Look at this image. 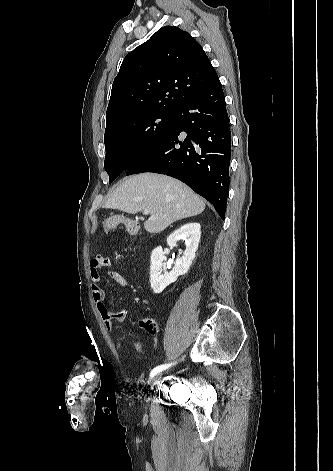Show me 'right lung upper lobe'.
<instances>
[{
  "mask_svg": "<svg viewBox=\"0 0 333 471\" xmlns=\"http://www.w3.org/2000/svg\"><path fill=\"white\" fill-rule=\"evenodd\" d=\"M217 79L203 48L188 32L162 27L124 58L113 82L106 128L139 112H176Z\"/></svg>",
  "mask_w": 333,
  "mask_h": 471,
  "instance_id": "right-lung-upper-lobe-1",
  "label": "right lung upper lobe"
}]
</instances>
